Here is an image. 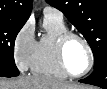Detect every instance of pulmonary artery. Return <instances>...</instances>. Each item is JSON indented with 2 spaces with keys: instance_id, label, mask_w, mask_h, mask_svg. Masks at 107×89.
Here are the masks:
<instances>
[{
  "instance_id": "e3ab8cb5",
  "label": "pulmonary artery",
  "mask_w": 107,
  "mask_h": 89,
  "mask_svg": "<svg viewBox=\"0 0 107 89\" xmlns=\"http://www.w3.org/2000/svg\"><path fill=\"white\" fill-rule=\"evenodd\" d=\"M43 12H44V16H53L59 19H63L62 13L53 7L47 6L44 8Z\"/></svg>"
}]
</instances>
